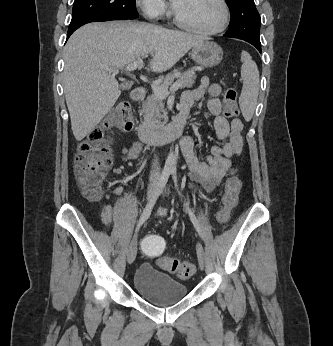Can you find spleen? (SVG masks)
Masks as SVG:
<instances>
[{
    "instance_id": "3e777b00",
    "label": "spleen",
    "mask_w": 333,
    "mask_h": 346,
    "mask_svg": "<svg viewBox=\"0 0 333 346\" xmlns=\"http://www.w3.org/2000/svg\"><path fill=\"white\" fill-rule=\"evenodd\" d=\"M241 76L243 88L239 97V105L244 118L251 120L257 104L259 92V71L256 63L246 51L241 53Z\"/></svg>"
}]
</instances>
